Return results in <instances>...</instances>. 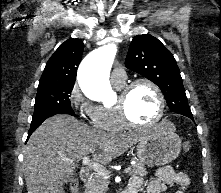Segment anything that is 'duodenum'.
I'll return each mask as SVG.
<instances>
[{
    "label": "duodenum",
    "instance_id": "410a0bca",
    "mask_svg": "<svg viewBox=\"0 0 221 193\" xmlns=\"http://www.w3.org/2000/svg\"><path fill=\"white\" fill-rule=\"evenodd\" d=\"M92 177V172L89 168L85 167L82 168V170L80 171V178L84 183H89ZM121 193H136L135 190L133 189H126L124 191H122Z\"/></svg>",
    "mask_w": 221,
    "mask_h": 193
}]
</instances>
